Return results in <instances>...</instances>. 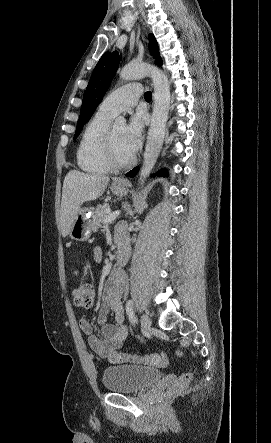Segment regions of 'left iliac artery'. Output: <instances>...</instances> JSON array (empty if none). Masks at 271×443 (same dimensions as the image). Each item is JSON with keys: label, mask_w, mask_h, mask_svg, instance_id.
I'll list each match as a JSON object with an SVG mask.
<instances>
[{"label": "left iliac artery", "mask_w": 271, "mask_h": 443, "mask_svg": "<svg viewBox=\"0 0 271 443\" xmlns=\"http://www.w3.org/2000/svg\"><path fill=\"white\" fill-rule=\"evenodd\" d=\"M126 312H127V315H128V318H129L130 322L132 324H134L135 321H136V317H135V314H134V306H133V301L132 300H128L127 301V303H126Z\"/></svg>", "instance_id": "44dca946"}]
</instances>
